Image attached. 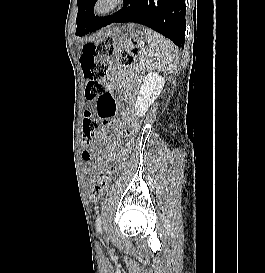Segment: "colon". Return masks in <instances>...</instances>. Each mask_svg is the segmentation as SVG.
Instances as JSON below:
<instances>
[{"mask_svg":"<svg viewBox=\"0 0 265 273\" xmlns=\"http://www.w3.org/2000/svg\"><path fill=\"white\" fill-rule=\"evenodd\" d=\"M116 52V43L112 36H106L97 44H90L83 48L80 59L83 74L87 80L85 95L88 101L83 119V134L90 142L91 150L83 153V158L92 163V172L98 182L92 189V196L97 197L101 194L105 182L113 171L110 161L96 153L101 148L106 151V137L103 140L100 136H107L108 127L116 114V102L104 86V79L107 74V66L99 58L112 55ZM138 53L136 40L130 45L122 48L118 53V62L121 68L130 66L135 55Z\"/></svg>","mask_w":265,"mask_h":273,"instance_id":"1","label":"colon"}]
</instances>
